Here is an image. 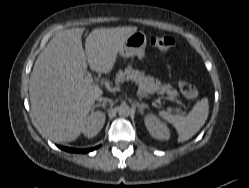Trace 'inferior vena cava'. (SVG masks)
I'll return each instance as SVG.
<instances>
[{
	"mask_svg": "<svg viewBox=\"0 0 249 188\" xmlns=\"http://www.w3.org/2000/svg\"><path fill=\"white\" fill-rule=\"evenodd\" d=\"M97 100L98 101H110L109 99L101 97V96L97 97Z\"/></svg>",
	"mask_w": 249,
	"mask_h": 188,
	"instance_id": "1",
	"label": "inferior vena cava"
}]
</instances>
